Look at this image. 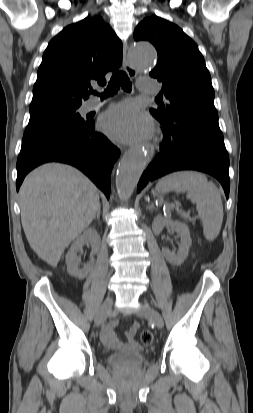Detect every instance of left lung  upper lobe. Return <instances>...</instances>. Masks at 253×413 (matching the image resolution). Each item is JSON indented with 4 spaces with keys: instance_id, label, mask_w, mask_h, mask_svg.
Masks as SVG:
<instances>
[{
    "instance_id": "obj_1",
    "label": "left lung upper lobe",
    "mask_w": 253,
    "mask_h": 413,
    "mask_svg": "<svg viewBox=\"0 0 253 413\" xmlns=\"http://www.w3.org/2000/svg\"><path fill=\"white\" fill-rule=\"evenodd\" d=\"M134 39L151 42L158 52V62L150 76L162 83L168 102L150 109L159 122H169L186 115L218 119L210 73L196 43L177 25L151 16L135 29Z\"/></svg>"
}]
</instances>
